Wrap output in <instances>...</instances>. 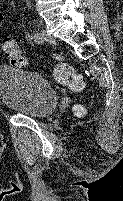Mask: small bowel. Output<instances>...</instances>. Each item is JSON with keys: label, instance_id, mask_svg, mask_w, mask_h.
<instances>
[{"label": "small bowel", "instance_id": "small-bowel-1", "mask_svg": "<svg viewBox=\"0 0 123 201\" xmlns=\"http://www.w3.org/2000/svg\"><path fill=\"white\" fill-rule=\"evenodd\" d=\"M5 22V15L0 11V26Z\"/></svg>", "mask_w": 123, "mask_h": 201}]
</instances>
